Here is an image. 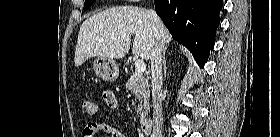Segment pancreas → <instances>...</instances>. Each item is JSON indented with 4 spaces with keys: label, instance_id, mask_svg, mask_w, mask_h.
Listing matches in <instances>:
<instances>
[{
    "label": "pancreas",
    "instance_id": "obj_1",
    "mask_svg": "<svg viewBox=\"0 0 280 137\" xmlns=\"http://www.w3.org/2000/svg\"><path fill=\"white\" fill-rule=\"evenodd\" d=\"M126 88L131 90L132 94L135 95L136 100L139 102L137 106V115L140 122H143L150 109V90L148 79H146L142 74L135 72L128 79Z\"/></svg>",
    "mask_w": 280,
    "mask_h": 137
}]
</instances>
